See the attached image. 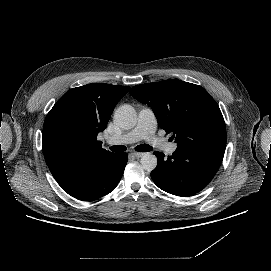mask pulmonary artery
Wrapping results in <instances>:
<instances>
[{
  "instance_id": "1",
  "label": "pulmonary artery",
  "mask_w": 271,
  "mask_h": 271,
  "mask_svg": "<svg viewBox=\"0 0 271 271\" xmlns=\"http://www.w3.org/2000/svg\"><path fill=\"white\" fill-rule=\"evenodd\" d=\"M157 123L154 112L148 107H142L137 116V122L133 129L120 134L106 137V143L114 145L131 144L141 140H147L162 146L168 154H173L177 149L176 143H164L155 137Z\"/></svg>"
}]
</instances>
